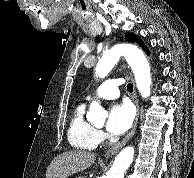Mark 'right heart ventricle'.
<instances>
[{"label": "right heart ventricle", "instance_id": "obj_1", "mask_svg": "<svg viewBox=\"0 0 194 178\" xmlns=\"http://www.w3.org/2000/svg\"><path fill=\"white\" fill-rule=\"evenodd\" d=\"M85 104L77 105L70 119L67 137L70 145L76 149L93 150L97 147L96 128L86 120Z\"/></svg>", "mask_w": 194, "mask_h": 178}]
</instances>
